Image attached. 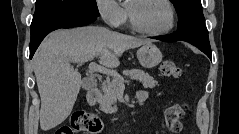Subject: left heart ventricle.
<instances>
[{
    "mask_svg": "<svg viewBox=\"0 0 239 134\" xmlns=\"http://www.w3.org/2000/svg\"><path fill=\"white\" fill-rule=\"evenodd\" d=\"M127 6H132L136 20L146 29L161 30L169 23V10L158 0H146L138 3L128 1Z\"/></svg>",
    "mask_w": 239,
    "mask_h": 134,
    "instance_id": "1",
    "label": "left heart ventricle"
}]
</instances>
